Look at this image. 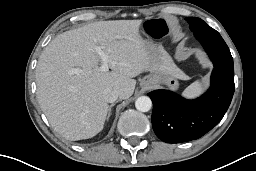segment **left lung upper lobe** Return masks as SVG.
Listing matches in <instances>:
<instances>
[{
    "mask_svg": "<svg viewBox=\"0 0 256 171\" xmlns=\"http://www.w3.org/2000/svg\"><path fill=\"white\" fill-rule=\"evenodd\" d=\"M186 20L190 24V29L192 31H199V32H207L211 34H218L216 30L208 26L203 20L196 17H187Z\"/></svg>",
    "mask_w": 256,
    "mask_h": 171,
    "instance_id": "left-lung-upper-lobe-1",
    "label": "left lung upper lobe"
}]
</instances>
